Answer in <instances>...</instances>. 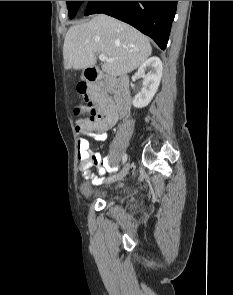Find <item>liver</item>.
<instances>
[{
  "label": "liver",
  "instance_id": "1",
  "mask_svg": "<svg viewBox=\"0 0 233 295\" xmlns=\"http://www.w3.org/2000/svg\"><path fill=\"white\" fill-rule=\"evenodd\" d=\"M151 53L146 36L129 24L105 14H96L89 22L71 26L63 45L66 70L93 67L96 54H105L114 61L104 62L102 70L113 77L137 69Z\"/></svg>",
  "mask_w": 233,
  "mask_h": 295
}]
</instances>
